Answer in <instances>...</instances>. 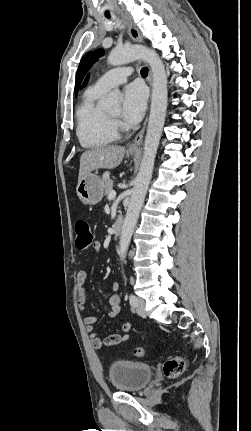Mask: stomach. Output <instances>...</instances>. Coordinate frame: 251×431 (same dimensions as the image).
Listing matches in <instances>:
<instances>
[{"label": "stomach", "mask_w": 251, "mask_h": 431, "mask_svg": "<svg viewBox=\"0 0 251 431\" xmlns=\"http://www.w3.org/2000/svg\"><path fill=\"white\" fill-rule=\"evenodd\" d=\"M130 154L135 155L136 152H130ZM76 192L83 203L95 205L103 198V181L96 173H89L84 179L78 182Z\"/></svg>", "instance_id": "stomach-1"}]
</instances>
